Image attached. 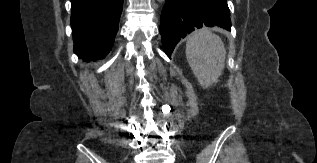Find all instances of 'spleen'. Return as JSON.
<instances>
[{
  "mask_svg": "<svg viewBox=\"0 0 317 163\" xmlns=\"http://www.w3.org/2000/svg\"><path fill=\"white\" fill-rule=\"evenodd\" d=\"M186 58L199 84L208 88L222 74L226 49L219 36L203 28L188 36Z\"/></svg>",
  "mask_w": 317,
  "mask_h": 163,
  "instance_id": "3e777b00",
  "label": "spleen"
}]
</instances>
